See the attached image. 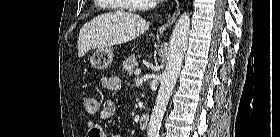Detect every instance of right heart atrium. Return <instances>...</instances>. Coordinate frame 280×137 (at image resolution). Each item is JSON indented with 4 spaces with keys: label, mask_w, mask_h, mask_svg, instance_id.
<instances>
[{
    "label": "right heart atrium",
    "mask_w": 280,
    "mask_h": 137,
    "mask_svg": "<svg viewBox=\"0 0 280 137\" xmlns=\"http://www.w3.org/2000/svg\"><path fill=\"white\" fill-rule=\"evenodd\" d=\"M139 9H146L151 5V1L149 0H138Z\"/></svg>",
    "instance_id": "d8ad5b80"
}]
</instances>
